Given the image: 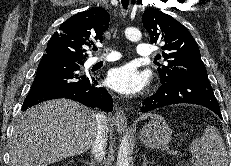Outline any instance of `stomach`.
I'll use <instances>...</instances> for the list:
<instances>
[{"label":"stomach","instance_id":"stomach-1","mask_svg":"<svg viewBox=\"0 0 231 166\" xmlns=\"http://www.w3.org/2000/svg\"><path fill=\"white\" fill-rule=\"evenodd\" d=\"M139 139L146 147L161 148L171 141L172 130L163 117L153 115L140 131Z\"/></svg>","mask_w":231,"mask_h":166}]
</instances>
